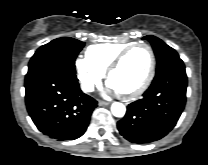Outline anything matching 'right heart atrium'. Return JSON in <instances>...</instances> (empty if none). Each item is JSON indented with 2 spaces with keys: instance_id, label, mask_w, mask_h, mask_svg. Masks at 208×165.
<instances>
[{
  "instance_id": "obj_1",
  "label": "right heart atrium",
  "mask_w": 208,
  "mask_h": 165,
  "mask_svg": "<svg viewBox=\"0 0 208 165\" xmlns=\"http://www.w3.org/2000/svg\"><path fill=\"white\" fill-rule=\"evenodd\" d=\"M77 79L85 92H91L101 83L104 74L99 71L86 57L78 56L74 62Z\"/></svg>"
}]
</instances>
